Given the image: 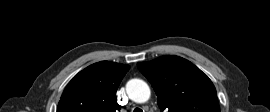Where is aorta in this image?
Segmentation results:
<instances>
[{
    "mask_svg": "<svg viewBox=\"0 0 270 112\" xmlns=\"http://www.w3.org/2000/svg\"><path fill=\"white\" fill-rule=\"evenodd\" d=\"M126 91L128 96L137 103H145L150 98V88L141 79H132L127 83Z\"/></svg>",
    "mask_w": 270,
    "mask_h": 112,
    "instance_id": "762f6f07",
    "label": "aorta"
}]
</instances>
